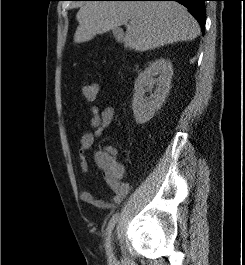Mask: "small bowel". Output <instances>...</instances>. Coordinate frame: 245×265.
Segmentation results:
<instances>
[{
  "label": "small bowel",
  "instance_id": "obj_1",
  "mask_svg": "<svg viewBox=\"0 0 245 265\" xmlns=\"http://www.w3.org/2000/svg\"><path fill=\"white\" fill-rule=\"evenodd\" d=\"M90 112L92 113L90 120L91 130L85 132L80 138L79 168L83 174L87 173L89 168L86 154L93 148L95 140L102 136L103 132L115 119V109L111 105L105 107L101 112L97 106H91ZM104 155L111 157L118 163L116 160L117 150L114 146L109 145L94 155L95 163L102 170L104 180L112 192L111 197L108 199H100L91 192L82 190L80 192V199L100 209H111L122 202L130 191V185L122 180V167L119 163L121 168L119 174H113L102 169L101 157Z\"/></svg>",
  "mask_w": 245,
  "mask_h": 265
}]
</instances>
